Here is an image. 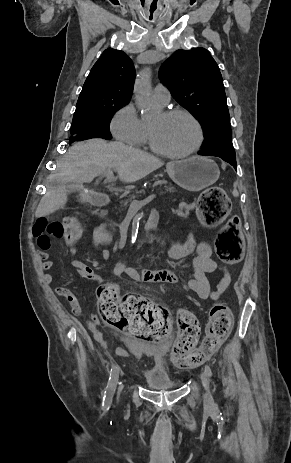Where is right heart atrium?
Wrapping results in <instances>:
<instances>
[{
	"instance_id": "obj_1",
	"label": "right heart atrium",
	"mask_w": 291,
	"mask_h": 463,
	"mask_svg": "<svg viewBox=\"0 0 291 463\" xmlns=\"http://www.w3.org/2000/svg\"><path fill=\"white\" fill-rule=\"evenodd\" d=\"M113 136L128 145L138 146L144 142L146 129L132 103H127L113 115L110 122Z\"/></svg>"
}]
</instances>
